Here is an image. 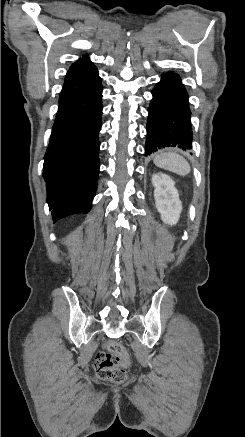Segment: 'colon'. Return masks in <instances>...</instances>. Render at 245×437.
I'll return each instance as SVG.
<instances>
[{
  "instance_id": "1",
  "label": "colon",
  "mask_w": 245,
  "mask_h": 437,
  "mask_svg": "<svg viewBox=\"0 0 245 437\" xmlns=\"http://www.w3.org/2000/svg\"><path fill=\"white\" fill-rule=\"evenodd\" d=\"M130 364V355L119 343L110 341L105 351H100L95 359L97 375L114 383L123 382L126 377V367Z\"/></svg>"
}]
</instances>
